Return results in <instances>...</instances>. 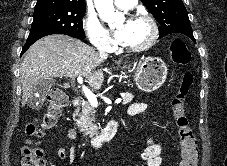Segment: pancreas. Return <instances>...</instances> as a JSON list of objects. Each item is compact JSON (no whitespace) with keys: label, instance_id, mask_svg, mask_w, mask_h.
Listing matches in <instances>:
<instances>
[{"label":"pancreas","instance_id":"cf45deb5","mask_svg":"<svg viewBox=\"0 0 227 166\" xmlns=\"http://www.w3.org/2000/svg\"><path fill=\"white\" fill-rule=\"evenodd\" d=\"M133 95L131 93H125L123 96V104L131 102ZM96 110L94 107L85 102L82 104V112L79 114V119L76 120V124L80 127L81 131L85 132L90 136L97 134L98 128L95 122Z\"/></svg>","mask_w":227,"mask_h":166}]
</instances>
